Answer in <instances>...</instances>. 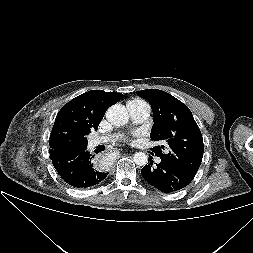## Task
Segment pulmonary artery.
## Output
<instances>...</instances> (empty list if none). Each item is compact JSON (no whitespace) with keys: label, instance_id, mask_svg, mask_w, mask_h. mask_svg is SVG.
<instances>
[{"label":"pulmonary artery","instance_id":"1","mask_svg":"<svg viewBox=\"0 0 253 253\" xmlns=\"http://www.w3.org/2000/svg\"><path fill=\"white\" fill-rule=\"evenodd\" d=\"M127 109L129 111L131 119L135 123H141L147 120L151 112L149 104L144 101H128ZM111 138V136L92 138L89 141L88 146L90 149H93L100 144L108 142ZM157 162H160L159 158H157Z\"/></svg>","mask_w":253,"mask_h":253}]
</instances>
